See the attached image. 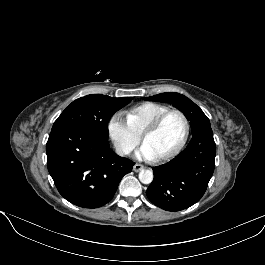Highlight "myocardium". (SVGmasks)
<instances>
[{"instance_id":"myocardium-1","label":"myocardium","mask_w":265,"mask_h":265,"mask_svg":"<svg viewBox=\"0 0 265 265\" xmlns=\"http://www.w3.org/2000/svg\"><path fill=\"white\" fill-rule=\"evenodd\" d=\"M172 114H177L180 115L184 121V125H185V131H184V136L181 140V142L179 143V145L173 149L172 151L159 155V156H155L153 157V159L155 161H165L168 159H171L173 157H175L176 155H178L185 147V145L187 144V141L189 139L190 136V121L187 117V115L178 109H169L167 111H165L164 113L160 114L158 117H156L141 133V141L144 144L145 139L153 134L154 132H156L158 130V128L160 127V125L162 124V122L169 116Z\"/></svg>"}]
</instances>
